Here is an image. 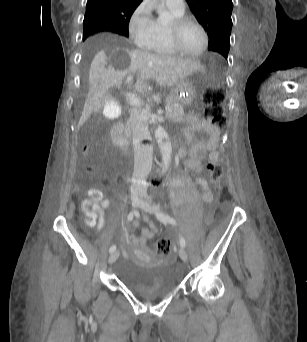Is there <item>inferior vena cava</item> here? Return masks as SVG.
<instances>
[{
	"label": "inferior vena cava",
	"mask_w": 307,
	"mask_h": 342,
	"mask_svg": "<svg viewBox=\"0 0 307 342\" xmlns=\"http://www.w3.org/2000/svg\"><path fill=\"white\" fill-rule=\"evenodd\" d=\"M133 132L134 172L131 192H146L147 178L152 170L153 148L141 144L146 136V128L140 118L138 110H133L130 116Z\"/></svg>",
	"instance_id": "602c4592"
}]
</instances>
